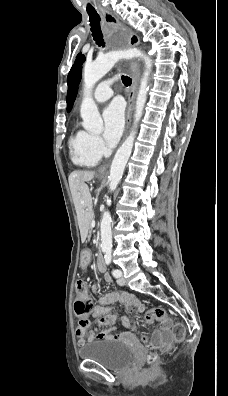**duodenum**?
Masks as SVG:
<instances>
[{
  "instance_id": "duodenum-1",
  "label": "duodenum",
  "mask_w": 228,
  "mask_h": 396,
  "mask_svg": "<svg viewBox=\"0 0 228 396\" xmlns=\"http://www.w3.org/2000/svg\"><path fill=\"white\" fill-rule=\"evenodd\" d=\"M97 266H98V269H99L100 271H102V272L105 271V269H106V264H105V261H104V259H103L102 256H99V257H98V259H97Z\"/></svg>"
}]
</instances>
